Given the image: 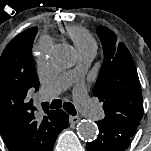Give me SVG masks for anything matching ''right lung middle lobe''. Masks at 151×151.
I'll use <instances>...</instances> for the list:
<instances>
[{
    "instance_id": "dd1d6c3e",
    "label": "right lung middle lobe",
    "mask_w": 151,
    "mask_h": 151,
    "mask_svg": "<svg viewBox=\"0 0 151 151\" xmlns=\"http://www.w3.org/2000/svg\"><path fill=\"white\" fill-rule=\"evenodd\" d=\"M37 30V27H33L30 31L23 33L24 47L16 48L8 53H2L0 72L6 74L10 79L18 80L22 79L26 72L34 69L31 49Z\"/></svg>"
}]
</instances>
